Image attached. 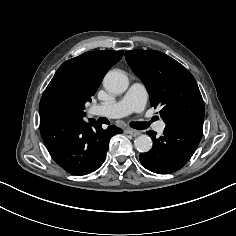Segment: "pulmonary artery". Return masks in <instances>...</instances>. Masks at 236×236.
Masks as SVG:
<instances>
[{"mask_svg":"<svg viewBox=\"0 0 236 236\" xmlns=\"http://www.w3.org/2000/svg\"><path fill=\"white\" fill-rule=\"evenodd\" d=\"M146 100L147 92L144 85L140 82H134L121 99L111 103L95 104L91 106L89 113L91 115H97L100 110L108 108L117 116L122 117L133 112H141L145 107ZM164 128L165 123L163 121H160L156 126L158 132H162Z\"/></svg>","mask_w":236,"mask_h":236,"instance_id":"pulmonary-artery-1","label":"pulmonary artery"}]
</instances>
